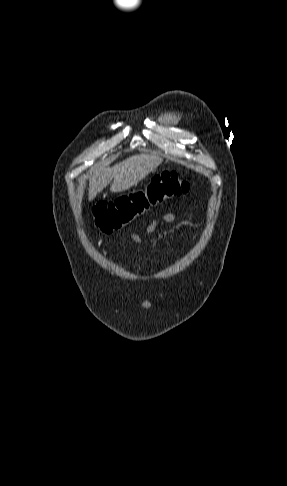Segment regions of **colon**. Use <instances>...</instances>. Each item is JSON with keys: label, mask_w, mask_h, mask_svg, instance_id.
I'll return each mask as SVG.
<instances>
[{"label": "colon", "mask_w": 287, "mask_h": 486, "mask_svg": "<svg viewBox=\"0 0 287 486\" xmlns=\"http://www.w3.org/2000/svg\"><path fill=\"white\" fill-rule=\"evenodd\" d=\"M191 187V182L176 171L157 174L143 189L98 202L93 208L95 226L104 233L117 231L152 206L182 196Z\"/></svg>", "instance_id": "obj_1"}]
</instances>
